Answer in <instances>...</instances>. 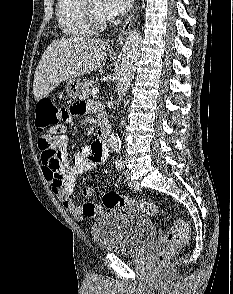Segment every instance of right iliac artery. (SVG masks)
<instances>
[{"label": "right iliac artery", "mask_w": 233, "mask_h": 294, "mask_svg": "<svg viewBox=\"0 0 233 294\" xmlns=\"http://www.w3.org/2000/svg\"><path fill=\"white\" fill-rule=\"evenodd\" d=\"M115 166H116V169L118 170V171H121L123 168H124V164H123V162H116L115 163Z\"/></svg>", "instance_id": "obj_1"}]
</instances>
